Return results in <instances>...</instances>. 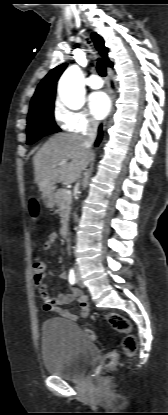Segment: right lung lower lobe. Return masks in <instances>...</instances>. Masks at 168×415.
I'll return each instance as SVG.
<instances>
[{
    "label": "right lung lower lobe",
    "instance_id": "obj_1",
    "mask_svg": "<svg viewBox=\"0 0 168 415\" xmlns=\"http://www.w3.org/2000/svg\"><path fill=\"white\" fill-rule=\"evenodd\" d=\"M101 138H102V129H101V127H100V128H99V136H98V138H97V140H96V142H95V145H96V146L100 143Z\"/></svg>",
    "mask_w": 168,
    "mask_h": 415
}]
</instances>
